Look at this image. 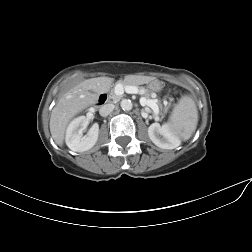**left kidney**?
Wrapping results in <instances>:
<instances>
[{
  "label": "left kidney",
  "mask_w": 252,
  "mask_h": 252,
  "mask_svg": "<svg viewBox=\"0 0 252 252\" xmlns=\"http://www.w3.org/2000/svg\"><path fill=\"white\" fill-rule=\"evenodd\" d=\"M150 140L159 148L174 149L180 145V139L167 124L153 123L148 128Z\"/></svg>",
  "instance_id": "obj_1"
}]
</instances>
